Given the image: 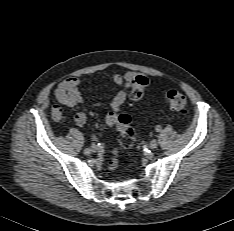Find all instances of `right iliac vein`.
Segmentation results:
<instances>
[{"label": "right iliac vein", "instance_id": "obj_1", "mask_svg": "<svg viewBox=\"0 0 234 231\" xmlns=\"http://www.w3.org/2000/svg\"><path fill=\"white\" fill-rule=\"evenodd\" d=\"M98 149H91V148H86L84 150L85 155H89L91 152H96Z\"/></svg>", "mask_w": 234, "mask_h": 231}]
</instances>
